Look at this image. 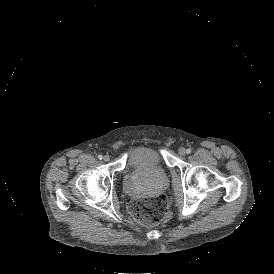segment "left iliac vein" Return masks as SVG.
Wrapping results in <instances>:
<instances>
[{"mask_svg": "<svg viewBox=\"0 0 274 274\" xmlns=\"http://www.w3.org/2000/svg\"><path fill=\"white\" fill-rule=\"evenodd\" d=\"M178 153H179V155L184 156V155L186 154V149L183 148V147H180V148L178 149Z\"/></svg>", "mask_w": 274, "mask_h": 274, "instance_id": "1", "label": "left iliac vein"}]
</instances>
